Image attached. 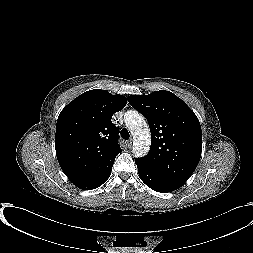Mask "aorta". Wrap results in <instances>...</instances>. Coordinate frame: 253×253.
Returning <instances> with one entry per match:
<instances>
[{
  "mask_svg": "<svg viewBox=\"0 0 253 253\" xmlns=\"http://www.w3.org/2000/svg\"><path fill=\"white\" fill-rule=\"evenodd\" d=\"M127 128L133 136L132 152L135 157L145 156L150 148V130L144 118L135 110H129L124 115Z\"/></svg>",
  "mask_w": 253,
  "mask_h": 253,
  "instance_id": "762f6f07",
  "label": "aorta"
}]
</instances>
